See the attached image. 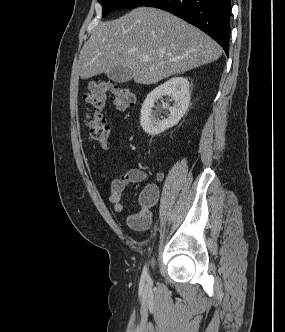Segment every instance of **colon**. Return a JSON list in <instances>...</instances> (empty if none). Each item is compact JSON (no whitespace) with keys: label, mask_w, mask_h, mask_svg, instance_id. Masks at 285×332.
<instances>
[{"label":"colon","mask_w":285,"mask_h":332,"mask_svg":"<svg viewBox=\"0 0 285 332\" xmlns=\"http://www.w3.org/2000/svg\"><path fill=\"white\" fill-rule=\"evenodd\" d=\"M113 99L119 111H125L134 103V94L130 88L112 81H93L84 95L87 107L86 120L92 140L106 148L110 139V127L102 113L106 99Z\"/></svg>","instance_id":"5ec220e1"}]
</instances>
